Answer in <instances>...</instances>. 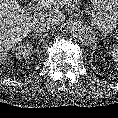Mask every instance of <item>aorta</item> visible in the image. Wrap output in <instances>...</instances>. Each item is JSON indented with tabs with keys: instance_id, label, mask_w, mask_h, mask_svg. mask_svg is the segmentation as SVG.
<instances>
[{
	"instance_id": "aorta-1",
	"label": "aorta",
	"mask_w": 118,
	"mask_h": 118,
	"mask_svg": "<svg viewBox=\"0 0 118 118\" xmlns=\"http://www.w3.org/2000/svg\"><path fill=\"white\" fill-rule=\"evenodd\" d=\"M72 36L86 47H94L97 44L93 33L81 22L72 21L68 24Z\"/></svg>"
}]
</instances>
